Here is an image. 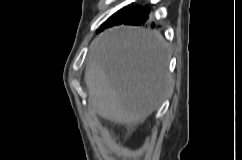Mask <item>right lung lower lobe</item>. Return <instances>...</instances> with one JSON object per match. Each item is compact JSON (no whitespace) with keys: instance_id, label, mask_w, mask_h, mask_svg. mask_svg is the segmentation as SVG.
I'll list each match as a JSON object with an SVG mask.
<instances>
[{"instance_id":"obj_1","label":"right lung lower lobe","mask_w":242,"mask_h":160,"mask_svg":"<svg viewBox=\"0 0 242 160\" xmlns=\"http://www.w3.org/2000/svg\"><path fill=\"white\" fill-rule=\"evenodd\" d=\"M148 19H149V9L144 7V8L136 10L135 12L130 14L127 18L118 22L115 25L129 24V25L142 26L148 22Z\"/></svg>"}]
</instances>
